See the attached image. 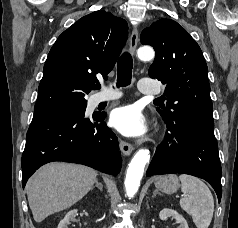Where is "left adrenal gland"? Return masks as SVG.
<instances>
[{
  "mask_svg": "<svg viewBox=\"0 0 238 228\" xmlns=\"http://www.w3.org/2000/svg\"><path fill=\"white\" fill-rule=\"evenodd\" d=\"M157 194H159L158 190L156 189L154 192H153V197H155Z\"/></svg>",
  "mask_w": 238,
  "mask_h": 228,
  "instance_id": "1",
  "label": "left adrenal gland"
}]
</instances>
